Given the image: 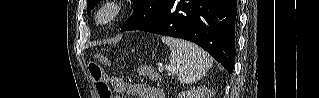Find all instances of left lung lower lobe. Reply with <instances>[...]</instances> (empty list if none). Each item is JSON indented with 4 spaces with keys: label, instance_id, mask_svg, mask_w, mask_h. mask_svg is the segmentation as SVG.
<instances>
[{
    "label": "left lung lower lobe",
    "instance_id": "obj_1",
    "mask_svg": "<svg viewBox=\"0 0 319 98\" xmlns=\"http://www.w3.org/2000/svg\"><path fill=\"white\" fill-rule=\"evenodd\" d=\"M236 15L235 0H164L157 16L137 30L194 42L231 73Z\"/></svg>",
    "mask_w": 319,
    "mask_h": 98
}]
</instances>
